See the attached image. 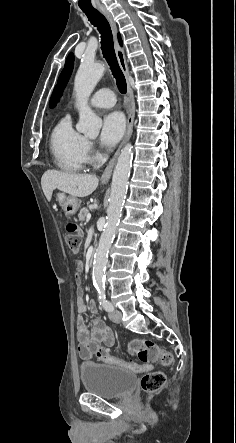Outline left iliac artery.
I'll return each instance as SVG.
<instances>
[{
  "label": "left iliac artery",
  "instance_id": "obj_1",
  "mask_svg": "<svg viewBox=\"0 0 236 443\" xmlns=\"http://www.w3.org/2000/svg\"><path fill=\"white\" fill-rule=\"evenodd\" d=\"M96 289L99 294L98 298L100 301V305L108 312L113 311V305L110 303V301L106 299L105 286H96Z\"/></svg>",
  "mask_w": 236,
  "mask_h": 443
}]
</instances>
